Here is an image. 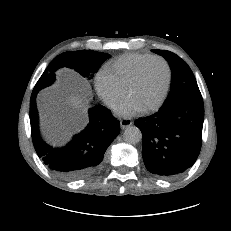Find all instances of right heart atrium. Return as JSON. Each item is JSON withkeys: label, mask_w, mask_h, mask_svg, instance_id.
<instances>
[{"label": "right heart atrium", "mask_w": 231, "mask_h": 231, "mask_svg": "<svg viewBox=\"0 0 231 231\" xmlns=\"http://www.w3.org/2000/svg\"><path fill=\"white\" fill-rule=\"evenodd\" d=\"M95 88L101 100L111 108L117 106L125 96V89L104 68L96 75Z\"/></svg>", "instance_id": "d8ad5b80"}]
</instances>
